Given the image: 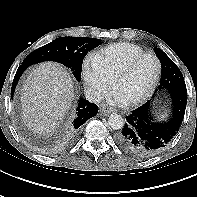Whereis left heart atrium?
I'll list each match as a JSON object with an SVG mask.
<instances>
[{
  "label": "left heart atrium",
  "mask_w": 197,
  "mask_h": 197,
  "mask_svg": "<svg viewBox=\"0 0 197 197\" xmlns=\"http://www.w3.org/2000/svg\"><path fill=\"white\" fill-rule=\"evenodd\" d=\"M111 100L114 102H118V103H124L125 101L122 99V97L118 94L117 91H115L112 96H111Z\"/></svg>",
  "instance_id": "left-heart-atrium-1"
}]
</instances>
